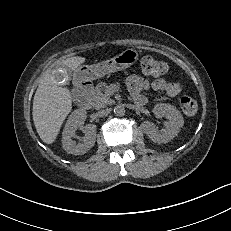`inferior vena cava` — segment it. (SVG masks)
<instances>
[{
    "mask_svg": "<svg viewBox=\"0 0 231 231\" xmlns=\"http://www.w3.org/2000/svg\"><path fill=\"white\" fill-rule=\"evenodd\" d=\"M110 113V109H103L97 112V116L105 117Z\"/></svg>",
    "mask_w": 231,
    "mask_h": 231,
    "instance_id": "1",
    "label": "inferior vena cava"
}]
</instances>
